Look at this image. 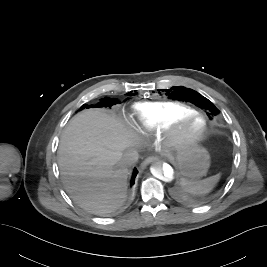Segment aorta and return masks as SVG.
<instances>
[{
    "mask_svg": "<svg viewBox=\"0 0 267 267\" xmlns=\"http://www.w3.org/2000/svg\"><path fill=\"white\" fill-rule=\"evenodd\" d=\"M150 171L154 177L161 181H171L174 176V169L166 162L157 160L152 163Z\"/></svg>",
    "mask_w": 267,
    "mask_h": 267,
    "instance_id": "obj_1",
    "label": "aorta"
}]
</instances>
